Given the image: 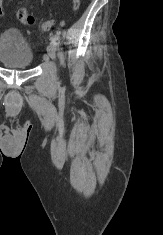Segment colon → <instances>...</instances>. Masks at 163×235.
<instances>
[{
    "label": "colon",
    "instance_id": "1",
    "mask_svg": "<svg viewBox=\"0 0 163 235\" xmlns=\"http://www.w3.org/2000/svg\"><path fill=\"white\" fill-rule=\"evenodd\" d=\"M81 0H71V5L73 10H78L80 7ZM3 14V5L0 1V16ZM16 17L24 24L32 26L36 23L35 18L28 12L26 8H20L16 12ZM52 20H46L41 23H39V27L44 30L48 31L53 26Z\"/></svg>",
    "mask_w": 163,
    "mask_h": 235
}]
</instances>
